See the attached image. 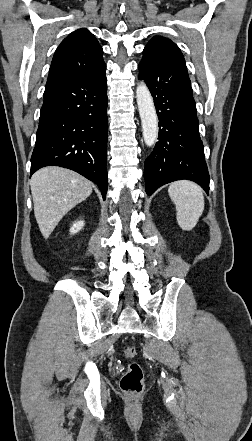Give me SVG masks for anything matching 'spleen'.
<instances>
[{"label":"spleen","instance_id":"3e777b00","mask_svg":"<svg viewBox=\"0 0 252 441\" xmlns=\"http://www.w3.org/2000/svg\"><path fill=\"white\" fill-rule=\"evenodd\" d=\"M168 193L175 204L179 226L185 231L192 230L204 210V196L201 187L191 181H177L170 184Z\"/></svg>","mask_w":252,"mask_h":441}]
</instances>
